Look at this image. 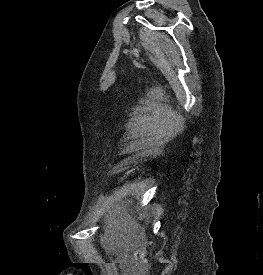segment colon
Masks as SVG:
<instances>
[{
	"label": "colon",
	"mask_w": 263,
	"mask_h": 275,
	"mask_svg": "<svg viewBox=\"0 0 263 275\" xmlns=\"http://www.w3.org/2000/svg\"><path fill=\"white\" fill-rule=\"evenodd\" d=\"M131 244L133 251L126 267V275H145L147 273V250L150 245L146 233L135 229Z\"/></svg>",
	"instance_id": "obj_1"
}]
</instances>
